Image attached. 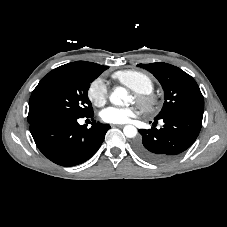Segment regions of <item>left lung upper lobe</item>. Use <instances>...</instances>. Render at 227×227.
<instances>
[{
  "label": "left lung upper lobe",
  "instance_id": "obj_1",
  "mask_svg": "<svg viewBox=\"0 0 227 227\" xmlns=\"http://www.w3.org/2000/svg\"><path fill=\"white\" fill-rule=\"evenodd\" d=\"M138 67L151 72L161 83L164 90L162 110L155 117L161 119L178 113L203 115L204 100L195 80L180 68L171 64L156 62L138 64Z\"/></svg>",
  "mask_w": 227,
  "mask_h": 227
}]
</instances>
